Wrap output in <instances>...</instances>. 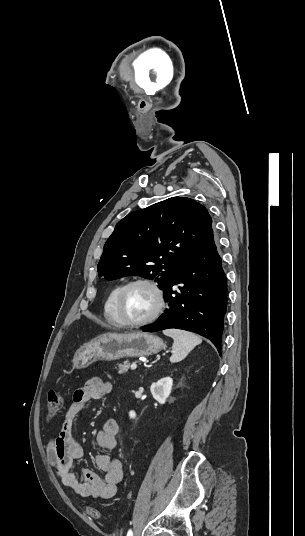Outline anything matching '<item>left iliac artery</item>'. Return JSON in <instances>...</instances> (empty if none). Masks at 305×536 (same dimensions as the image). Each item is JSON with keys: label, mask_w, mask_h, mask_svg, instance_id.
Listing matches in <instances>:
<instances>
[{"label": "left iliac artery", "mask_w": 305, "mask_h": 536, "mask_svg": "<svg viewBox=\"0 0 305 536\" xmlns=\"http://www.w3.org/2000/svg\"><path fill=\"white\" fill-rule=\"evenodd\" d=\"M127 536H133V532H132V530H129V531L127 532Z\"/></svg>", "instance_id": "44dca946"}]
</instances>
